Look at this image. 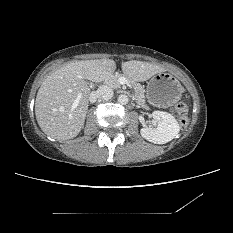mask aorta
Listing matches in <instances>:
<instances>
[{
  "mask_svg": "<svg viewBox=\"0 0 233 233\" xmlns=\"http://www.w3.org/2000/svg\"><path fill=\"white\" fill-rule=\"evenodd\" d=\"M128 101H129V98H128L127 95L121 94V95L118 96V102H119L120 104L125 105V104L128 103Z\"/></svg>",
  "mask_w": 233,
  "mask_h": 233,
  "instance_id": "1",
  "label": "aorta"
}]
</instances>
